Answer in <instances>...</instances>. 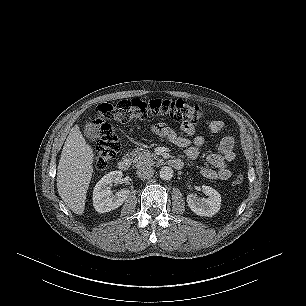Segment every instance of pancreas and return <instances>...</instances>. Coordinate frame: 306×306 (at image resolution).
Listing matches in <instances>:
<instances>
[{
	"label": "pancreas",
	"instance_id": "cf45deb5",
	"mask_svg": "<svg viewBox=\"0 0 306 306\" xmlns=\"http://www.w3.org/2000/svg\"><path fill=\"white\" fill-rule=\"evenodd\" d=\"M130 155H132L135 166L153 165L155 164L154 160H157L156 155L151 154L148 149L143 148L132 151Z\"/></svg>",
	"mask_w": 306,
	"mask_h": 306
}]
</instances>
